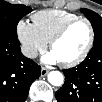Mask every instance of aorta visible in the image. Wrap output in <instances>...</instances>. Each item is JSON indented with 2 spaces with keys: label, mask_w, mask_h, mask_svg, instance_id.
<instances>
[{
  "label": "aorta",
  "mask_w": 102,
  "mask_h": 102,
  "mask_svg": "<svg viewBox=\"0 0 102 102\" xmlns=\"http://www.w3.org/2000/svg\"><path fill=\"white\" fill-rule=\"evenodd\" d=\"M48 82L53 86H61L64 83V76L59 71H51L48 74Z\"/></svg>",
  "instance_id": "1"
}]
</instances>
